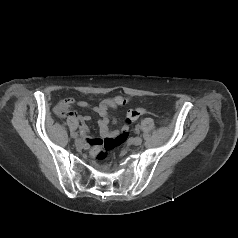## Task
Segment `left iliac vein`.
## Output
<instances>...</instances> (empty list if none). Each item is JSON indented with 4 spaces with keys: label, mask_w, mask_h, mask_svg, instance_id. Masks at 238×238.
<instances>
[{
    "label": "left iliac vein",
    "mask_w": 238,
    "mask_h": 238,
    "mask_svg": "<svg viewBox=\"0 0 238 238\" xmlns=\"http://www.w3.org/2000/svg\"><path fill=\"white\" fill-rule=\"evenodd\" d=\"M132 143L136 146L141 145L142 143V138L141 137H135L132 141Z\"/></svg>",
    "instance_id": "left-iliac-vein-1"
}]
</instances>
